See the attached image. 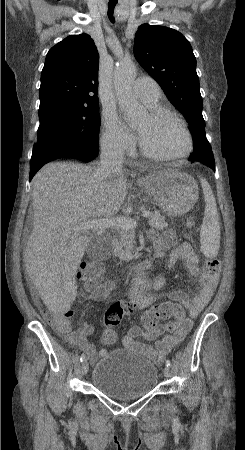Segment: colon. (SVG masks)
I'll return each instance as SVG.
<instances>
[{"mask_svg":"<svg viewBox=\"0 0 245 450\" xmlns=\"http://www.w3.org/2000/svg\"><path fill=\"white\" fill-rule=\"evenodd\" d=\"M205 269L210 274L218 273L220 261L216 258L208 259ZM104 266L99 261L90 260L85 262L77 273V279L84 282L90 288H97L101 285V274ZM132 303L128 301H116L112 303L104 314L105 331L103 339L106 343L112 344L116 341V333L112 328L118 326L124 315L132 311ZM45 320L59 331H67L71 326L72 312L63 310L59 312L45 311ZM186 319L184 308L177 303L165 301L160 302L152 308L146 310L141 318L144 329L155 328L159 323L167 320L183 322Z\"/></svg>","mask_w":245,"mask_h":450,"instance_id":"5ec220e1","label":"colon"}]
</instances>
